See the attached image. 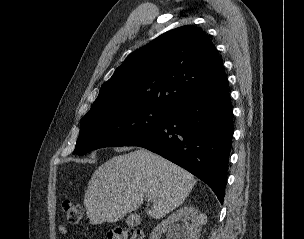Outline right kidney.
Instances as JSON below:
<instances>
[{"mask_svg": "<svg viewBox=\"0 0 304 239\" xmlns=\"http://www.w3.org/2000/svg\"><path fill=\"white\" fill-rule=\"evenodd\" d=\"M201 228L202 220L197 210L185 205L162 220L153 229L150 239H158L165 231L167 239H199Z\"/></svg>", "mask_w": 304, "mask_h": 239, "instance_id": "ca27d5eb", "label": "right kidney"}]
</instances>
